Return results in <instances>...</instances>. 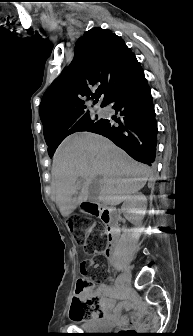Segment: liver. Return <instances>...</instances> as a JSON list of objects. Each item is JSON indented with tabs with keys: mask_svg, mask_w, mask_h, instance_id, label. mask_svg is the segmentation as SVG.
Here are the masks:
<instances>
[{
	"mask_svg": "<svg viewBox=\"0 0 193 336\" xmlns=\"http://www.w3.org/2000/svg\"><path fill=\"white\" fill-rule=\"evenodd\" d=\"M52 175L56 204L61 215L67 217L88 200L89 186L96 176L103 178L97 199L103 204L118 205L145 186L151 169L133 160L109 139L82 132L60 145L53 158Z\"/></svg>",
	"mask_w": 193,
	"mask_h": 336,
	"instance_id": "6515ba94",
	"label": "liver"
}]
</instances>
